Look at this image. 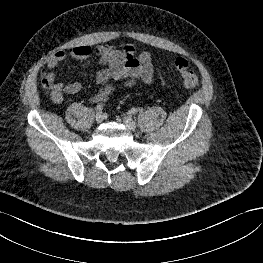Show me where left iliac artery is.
I'll return each mask as SVG.
<instances>
[{
	"mask_svg": "<svg viewBox=\"0 0 263 263\" xmlns=\"http://www.w3.org/2000/svg\"><path fill=\"white\" fill-rule=\"evenodd\" d=\"M137 112H138L137 109H135V108H132V109H131V113H132V114H137Z\"/></svg>",
	"mask_w": 263,
	"mask_h": 263,
	"instance_id": "44dca946",
	"label": "left iliac artery"
}]
</instances>
